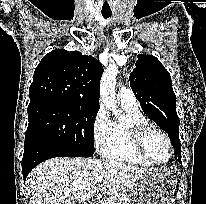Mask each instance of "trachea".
Returning a JSON list of instances; mask_svg holds the SVG:
<instances>
[{
  "mask_svg": "<svg viewBox=\"0 0 206 204\" xmlns=\"http://www.w3.org/2000/svg\"><path fill=\"white\" fill-rule=\"evenodd\" d=\"M102 16L104 18H109L111 16V13H102Z\"/></svg>",
  "mask_w": 206,
  "mask_h": 204,
  "instance_id": "1",
  "label": "trachea"
}]
</instances>
